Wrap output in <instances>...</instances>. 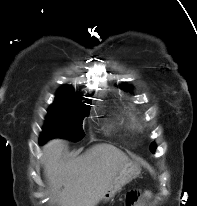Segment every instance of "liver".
I'll return each mask as SVG.
<instances>
[{"label":"liver","instance_id":"1","mask_svg":"<svg viewBox=\"0 0 197 206\" xmlns=\"http://www.w3.org/2000/svg\"><path fill=\"white\" fill-rule=\"evenodd\" d=\"M63 147L61 139H53L42 151L53 201L59 206H95L128 157L113 145L98 144L73 160L63 161Z\"/></svg>","mask_w":197,"mask_h":206}]
</instances>
